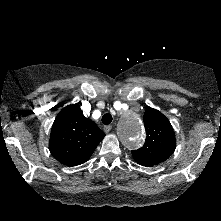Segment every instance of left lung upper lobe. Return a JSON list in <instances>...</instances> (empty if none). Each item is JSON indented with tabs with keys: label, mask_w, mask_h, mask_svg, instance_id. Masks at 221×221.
Segmentation results:
<instances>
[{
	"label": "left lung upper lobe",
	"mask_w": 221,
	"mask_h": 221,
	"mask_svg": "<svg viewBox=\"0 0 221 221\" xmlns=\"http://www.w3.org/2000/svg\"><path fill=\"white\" fill-rule=\"evenodd\" d=\"M146 129L144 145L132 151L142 166L157 165L168 159L175 150V135L169 120L158 110L147 107L143 117Z\"/></svg>",
	"instance_id": "obj_1"
}]
</instances>
